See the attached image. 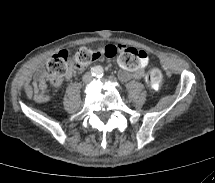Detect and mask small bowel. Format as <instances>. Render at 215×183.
Returning a JSON list of instances; mask_svg holds the SVG:
<instances>
[{
	"label": "small bowel",
	"instance_id": "c3829d8e",
	"mask_svg": "<svg viewBox=\"0 0 215 183\" xmlns=\"http://www.w3.org/2000/svg\"><path fill=\"white\" fill-rule=\"evenodd\" d=\"M120 51L117 54V65L121 69L119 71V78L122 81H127L130 78L140 79L143 74L151 67V56L141 47L132 45L125 47L119 45ZM74 74L73 68H70L67 74L62 78H51L46 72L41 71L34 78L31 89L33 91L34 100L38 103H45L48 101V96L43 93V89L47 84L59 86L64 81H68Z\"/></svg>",
	"mask_w": 215,
	"mask_h": 183
}]
</instances>
